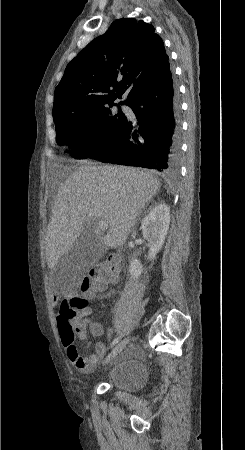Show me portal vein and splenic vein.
Returning a JSON list of instances; mask_svg holds the SVG:
<instances>
[{
	"label": "portal vein and splenic vein",
	"instance_id": "obj_1",
	"mask_svg": "<svg viewBox=\"0 0 245 450\" xmlns=\"http://www.w3.org/2000/svg\"><path fill=\"white\" fill-rule=\"evenodd\" d=\"M97 227L99 230L105 231L108 229V223L106 221L101 220L98 222Z\"/></svg>",
	"mask_w": 245,
	"mask_h": 450
}]
</instances>
